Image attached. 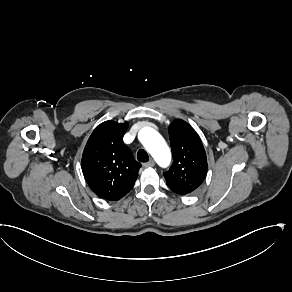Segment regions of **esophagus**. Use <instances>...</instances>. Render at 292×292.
I'll use <instances>...</instances> for the list:
<instances>
[{"mask_svg":"<svg viewBox=\"0 0 292 292\" xmlns=\"http://www.w3.org/2000/svg\"><path fill=\"white\" fill-rule=\"evenodd\" d=\"M143 166L146 167V168L153 167V166H155V161L154 160H150L149 162L144 163Z\"/></svg>","mask_w":292,"mask_h":292,"instance_id":"esophagus-1","label":"esophagus"}]
</instances>
